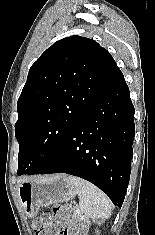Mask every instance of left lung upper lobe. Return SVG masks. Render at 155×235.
I'll return each mask as SVG.
<instances>
[{"label":"left lung upper lobe","mask_w":155,"mask_h":235,"mask_svg":"<svg viewBox=\"0 0 155 235\" xmlns=\"http://www.w3.org/2000/svg\"><path fill=\"white\" fill-rule=\"evenodd\" d=\"M116 69L106 49L81 36L61 39L40 56L17 104V175L35 174L50 162Z\"/></svg>","instance_id":"left-lung-upper-lobe-1"}]
</instances>
